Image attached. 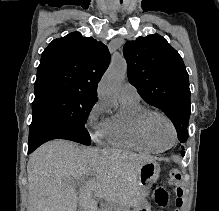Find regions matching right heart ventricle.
Here are the masks:
<instances>
[{"instance_id":"obj_1","label":"right heart ventricle","mask_w":219,"mask_h":211,"mask_svg":"<svg viewBox=\"0 0 219 211\" xmlns=\"http://www.w3.org/2000/svg\"><path fill=\"white\" fill-rule=\"evenodd\" d=\"M120 110L109 120L108 141L112 146L156 153L160 149L148 142L143 136L139 119L148 110L139 101H120Z\"/></svg>"}]
</instances>
